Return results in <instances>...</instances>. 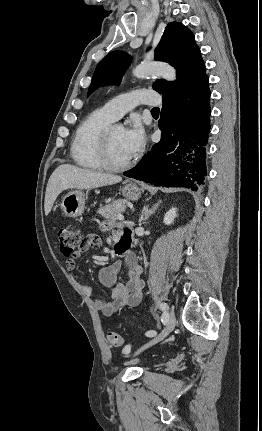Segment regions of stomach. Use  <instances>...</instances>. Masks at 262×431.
Returning <instances> with one entry per match:
<instances>
[{"mask_svg":"<svg viewBox=\"0 0 262 431\" xmlns=\"http://www.w3.org/2000/svg\"><path fill=\"white\" fill-rule=\"evenodd\" d=\"M142 189L134 183H127L122 194L127 200L136 201L141 197ZM86 195L82 190L68 192L62 199L61 209L68 217L81 216L85 209Z\"/></svg>","mask_w":262,"mask_h":431,"instance_id":"obj_1","label":"stomach"}]
</instances>
